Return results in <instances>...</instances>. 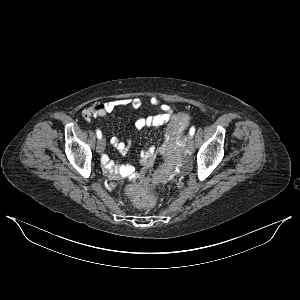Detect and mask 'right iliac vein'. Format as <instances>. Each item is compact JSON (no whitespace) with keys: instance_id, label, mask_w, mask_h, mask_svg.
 Wrapping results in <instances>:
<instances>
[{"instance_id":"right-iliac-vein-1","label":"right iliac vein","mask_w":300,"mask_h":300,"mask_svg":"<svg viewBox=\"0 0 300 300\" xmlns=\"http://www.w3.org/2000/svg\"><path fill=\"white\" fill-rule=\"evenodd\" d=\"M105 144H106V141H105V138L103 139H100L97 143V147H96V151L101 154L104 152V149H105Z\"/></svg>"}]
</instances>
